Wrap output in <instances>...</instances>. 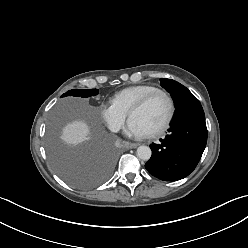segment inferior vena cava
I'll return each instance as SVG.
<instances>
[{
    "label": "inferior vena cava",
    "instance_id": "602c4592",
    "mask_svg": "<svg viewBox=\"0 0 248 248\" xmlns=\"http://www.w3.org/2000/svg\"><path fill=\"white\" fill-rule=\"evenodd\" d=\"M109 129L112 131V132H118L120 130V125L118 124H111L109 126Z\"/></svg>",
    "mask_w": 248,
    "mask_h": 248
}]
</instances>
